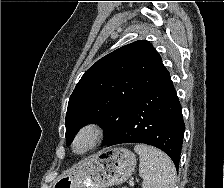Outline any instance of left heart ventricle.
<instances>
[{
	"mask_svg": "<svg viewBox=\"0 0 224 188\" xmlns=\"http://www.w3.org/2000/svg\"><path fill=\"white\" fill-rule=\"evenodd\" d=\"M88 143V137H82L78 140L76 144V149L77 150H82Z\"/></svg>",
	"mask_w": 224,
	"mask_h": 188,
	"instance_id": "obj_1",
	"label": "left heart ventricle"
}]
</instances>
